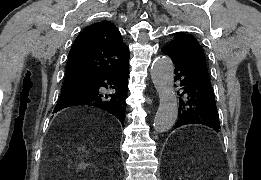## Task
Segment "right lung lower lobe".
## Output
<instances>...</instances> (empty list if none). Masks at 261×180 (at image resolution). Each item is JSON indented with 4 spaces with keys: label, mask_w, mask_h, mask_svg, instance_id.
Returning a JSON list of instances; mask_svg holds the SVG:
<instances>
[{
    "label": "right lung lower lobe",
    "mask_w": 261,
    "mask_h": 180,
    "mask_svg": "<svg viewBox=\"0 0 261 180\" xmlns=\"http://www.w3.org/2000/svg\"><path fill=\"white\" fill-rule=\"evenodd\" d=\"M128 71L127 65L95 76L88 90L60 97L54 111L73 105H91L108 111L123 124L128 91ZM101 87H109L113 91L112 93H105Z\"/></svg>",
    "instance_id": "98d812e1"
}]
</instances>
